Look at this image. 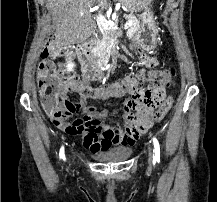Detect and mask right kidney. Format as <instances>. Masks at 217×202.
<instances>
[{"label":"right kidney","instance_id":"ca27d5eb","mask_svg":"<svg viewBox=\"0 0 217 202\" xmlns=\"http://www.w3.org/2000/svg\"><path fill=\"white\" fill-rule=\"evenodd\" d=\"M66 68H67V72H73L74 64H71V62H68Z\"/></svg>","mask_w":217,"mask_h":202}]
</instances>
